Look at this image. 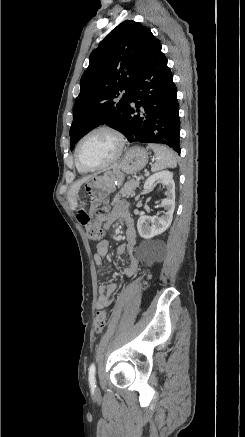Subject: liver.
Returning <instances> with one entry per match:
<instances>
[{"label": "liver", "mask_w": 245, "mask_h": 437, "mask_svg": "<svg viewBox=\"0 0 245 437\" xmlns=\"http://www.w3.org/2000/svg\"><path fill=\"white\" fill-rule=\"evenodd\" d=\"M90 176L84 177L83 179L76 182L70 189L68 193V201L70 204L71 210H76L78 207V193L83 183H85Z\"/></svg>", "instance_id": "1"}]
</instances>
